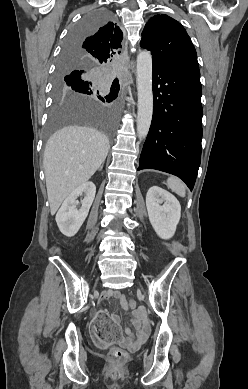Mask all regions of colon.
Wrapping results in <instances>:
<instances>
[{
    "instance_id": "1",
    "label": "colon",
    "mask_w": 248,
    "mask_h": 389,
    "mask_svg": "<svg viewBox=\"0 0 248 389\" xmlns=\"http://www.w3.org/2000/svg\"><path fill=\"white\" fill-rule=\"evenodd\" d=\"M136 303L133 299L126 303V307L133 309ZM94 321L89 327V332L94 334L97 339L94 345L99 350H104L107 344H114L115 340H123V331L120 330V322H113L108 311H97L94 316ZM127 357L125 350L121 348H112L108 352V359L110 361V369L118 371Z\"/></svg>"
}]
</instances>
